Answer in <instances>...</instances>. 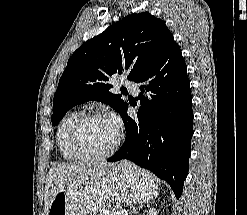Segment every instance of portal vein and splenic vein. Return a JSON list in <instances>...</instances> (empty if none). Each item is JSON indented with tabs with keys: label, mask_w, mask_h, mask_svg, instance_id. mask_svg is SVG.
<instances>
[{
	"label": "portal vein and splenic vein",
	"mask_w": 247,
	"mask_h": 215,
	"mask_svg": "<svg viewBox=\"0 0 247 215\" xmlns=\"http://www.w3.org/2000/svg\"><path fill=\"white\" fill-rule=\"evenodd\" d=\"M120 214H121V215H128V212H127L126 210H121V211H120Z\"/></svg>",
	"instance_id": "obj_1"
}]
</instances>
